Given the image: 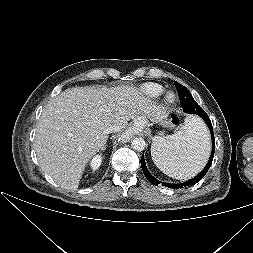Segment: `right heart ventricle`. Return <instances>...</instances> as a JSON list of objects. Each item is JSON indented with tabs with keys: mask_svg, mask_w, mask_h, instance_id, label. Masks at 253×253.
Segmentation results:
<instances>
[{
	"mask_svg": "<svg viewBox=\"0 0 253 253\" xmlns=\"http://www.w3.org/2000/svg\"><path fill=\"white\" fill-rule=\"evenodd\" d=\"M141 92L147 98L155 99L163 94L164 88L156 83H147L141 87Z\"/></svg>",
	"mask_w": 253,
	"mask_h": 253,
	"instance_id": "1",
	"label": "right heart ventricle"
}]
</instances>
